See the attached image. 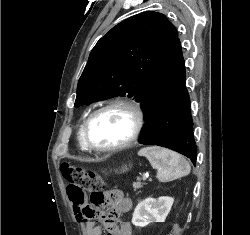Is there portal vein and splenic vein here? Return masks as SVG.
<instances>
[{
  "label": "portal vein and splenic vein",
  "instance_id": "portal-vein-and-splenic-vein-1",
  "mask_svg": "<svg viewBox=\"0 0 250 235\" xmlns=\"http://www.w3.org/2000/svg\"><path fill=\"white\" fill-rule=\"evenodd\" d=\"M148 178V175L143 176V180H146Z\"/></svg>",
  "mask_w": 250,
  "mask_h": 235
}]
</instances>
